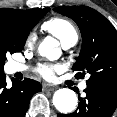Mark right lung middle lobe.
I'll use <instances>...</instances> for the list:
<instances>
[{
  "mask_svg": "<svg viewBox=\"0 0 117 117\" xmlns=\"http://www.w3.org/2000/svg\"><path fill=\"white\" fill-rule=\"evenodd\" d=\"M50 8H39L30 22L0 17V74L8 53L22 51L30 30L46 15Z\"/></svg>",
  "mask_w": 117,
  "mask_h": 117,
  "instance_id": "1",
  "label": "right lung middle lobe"
}]
</instances>
